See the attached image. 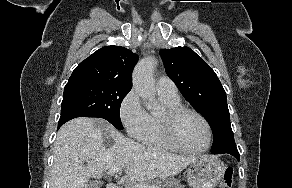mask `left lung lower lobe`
<instances>
[{"mask_svg":"<svg viewBox=\"0 0 292 188\" xmlns=\"http://www.w3.org/2000/svg\"><path fill=\"white\" fill-rule=\"evenodd\" d=\"M223 153L231 154L232 156H234L239 161V152H238L237 148L233 149V150H226Z\"/></svg>","mask_w":292,"mask_h":188,"instance_id":"obj_1","label":"left lung lower lobe"}]
</instances>
